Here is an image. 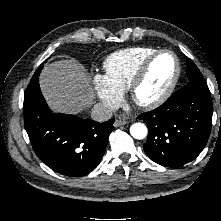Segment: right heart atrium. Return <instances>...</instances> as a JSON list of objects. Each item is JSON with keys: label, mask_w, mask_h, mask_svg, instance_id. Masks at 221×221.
<instances>
[{"label": "right heart atrium", "mask_w": 221, "mask_h": 221, "mask_svg": "<svg viewBox=\"0 0 221 221\" xmlns=\"http://www.w3.org/2000/svg\"><path fill=\"white\" fill-rule=\"evenodd\" d=\"M93 84L100 101L109 109H115L121 102L122 92L103 74H95Z\"/></svg>", "instance_id": "right-heart-atrium-1"}]
</instances>
